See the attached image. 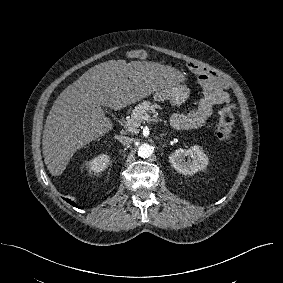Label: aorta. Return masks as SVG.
Returning a JSON list of instances; mask_svg holds the SVG:
<instances>
[{
  "label": "aorta",
  "instance_id": "762f6f07",
  "mask_svg": "<svg viewBox=\"0 0 283 283\" xmlns=\"http://www.w3.org/2000/svg\"><path fill=\"white\" fill-rule=\"evenodd\" d=\"M152 154V147L147 144H141L138 148V155L142 158H148Z\"/></svg>",
  "mask_w": 283,
  "mask_h": 283
}]
</instances>
